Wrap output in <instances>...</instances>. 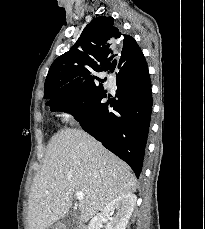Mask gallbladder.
Wrapping results in <instances>:
<instances>
[{"label":"gallbladder","mask_w":205,"mask_h":229,"mask_svg":"<svg viewBox=\"0 0 205 229\" xmlns=\"http://www.w3.org/2000/svg\"><path fill=\"white\" fill-rule=\"evenodd\" d=\"M77 222V216L72 215L71 217H69V224L70 225H74Z\"/></svg>","instance_id":"1"}]
</instances>
